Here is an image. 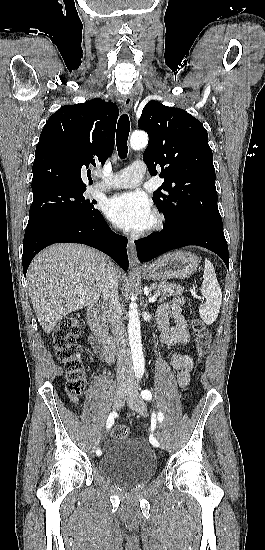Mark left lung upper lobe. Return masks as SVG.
<instances>
[{"instance_id": "obj_1", "label": "left lung upper lobe", "mask_w": 265, "mask_h": 550, "mask_svg": "<svg viewBox=\"0 0 265 550\" xmlns=\"http://www.w3.org/2000/svg\"><path fill=\"white\" fill-rule=\"evenodd\" d=\"M138 126L150 137L143 161L151 175L160 166V177L165 179L153 193L165 226L185 219L222 226L213 154L201 122L183 109L152 100L145 105Z\"/></svg>"}]
</instances>
